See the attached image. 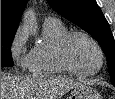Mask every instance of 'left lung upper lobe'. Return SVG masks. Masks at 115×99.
<instances>
[{
	"label": "left lung upper lobe",
	"mask_w": 115,
	"mask_h": 99,
	"mask_svg": "<svg viewBox=\"0 0 115 99\" xmlns=\"http://www.w3.org/2000/svg\"><path fill=\"white\" fill-rule=\"evenodd\" d=\"M60 15L78 25L100 44L115 86V42L109 24L96 0H47Z\"/></svg>",
	"instance_id": "5c2ea615"
}]
</instances>
